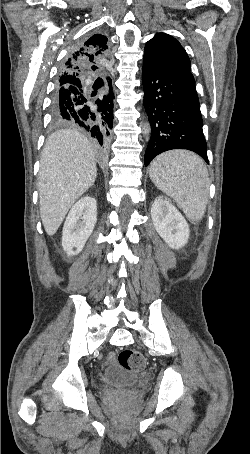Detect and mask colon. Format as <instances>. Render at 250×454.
Listing matches in <instances>:
<instances>
[{
    "mask_svg": "<svg viewBox=\"0 0 250 454\" xmlns=\"http://www.w3.org/2000/svg\"><path fill=\"white\" fill-rule=\"evenodd\" d=\"M118 362L121 367L131 372H140L146 365L143 354L133 349L122 350L118 355Z\"/></svg>",
    "mask_w": 250,
    "mask_h": 454,
    "instance_id": "1",
    "label": "colon"
}]
</instances>
